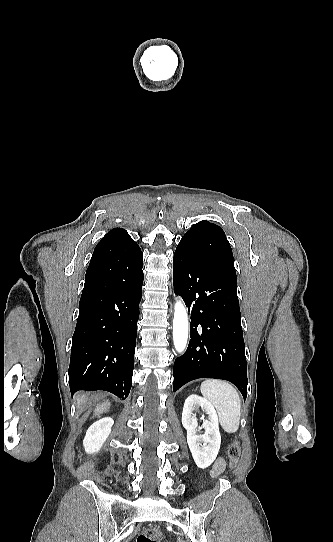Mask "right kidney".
<instances>
[{
    "instance_id": "ca27d5eb",
    "label": "right kidney",
    "mask_w": 333,
    "mask_h": 542,
    "mask_svg": "<svg viewBox=\"0 0 333 542\" xmlns=\"http://www.w3.org/2000/svg\"><path fill=\"white\" fill-rule=\"evenodd\" d=\"M114 424L112 418H102L98 422H94L86 432V436L83 440V446L87 454H94L99 452L104 442H106L109 434H111V428Z\"/></svg>"
}]
</instances>
